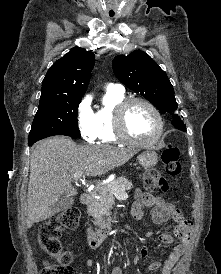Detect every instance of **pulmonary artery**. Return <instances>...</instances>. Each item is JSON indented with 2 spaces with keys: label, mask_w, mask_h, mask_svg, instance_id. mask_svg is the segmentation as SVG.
<instances>
[{
  "label": "pulmonary artery",
  "mask_w": 221,
  "mask_h": 274,
  "mask_svg": "<svg viewBox=\"0 0 221 274\" xmlns=\"http://www.w3.org/2000/svg\"><path fill=\"white\" fill-rule=\"evenodd\" d=\"M107 89L118 90V91H123L124 90L122 85H120V84H113V83L109 84L108 87H107Z\"/></svg>",
  "instance_id": "pulmonary-artery-1"
}]
</instances>
